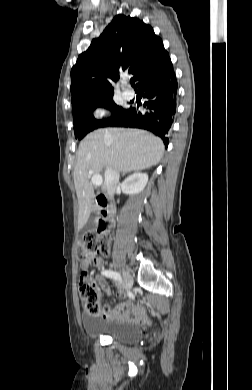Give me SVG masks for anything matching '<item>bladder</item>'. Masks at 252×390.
I'll return each mask as SVG.
<instances>
[{
	"label": "bladder",
	"instance_id": "1",
	"mask_svg": "<svg viewBox=\"0 0 252 390\" xmlns=\"http://www.w3.org/2000/svg\"><path fill=\"white\" fill-rule=\"evenodd\" d=\"M83 328L88 336L109 337L125 345L137 344L144 337L141 326L136 323L83 317Z\"/></svg>",
	"mask_w": 252,
	"mask_h": 390
}]
</instances>
